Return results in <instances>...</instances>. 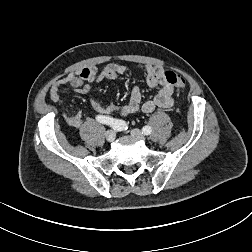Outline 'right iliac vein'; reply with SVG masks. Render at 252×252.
<instances>
[{"label":"right iliac vein","mask_w":252,"mask_h":252,"mask_svg":"<svg viewBox=\"0 0 252 252\" xmlns=\"http://www.w3.org/2000/svg\"><path fill=\"white\" fill-rule=\"evenodd\" d=\"M105 137H106V140L108 142H113L116 138V133L112 130H108L106 133H105Z\"/></svg>","instance_id":"right-iliac-vein-1"}]
</instances>
